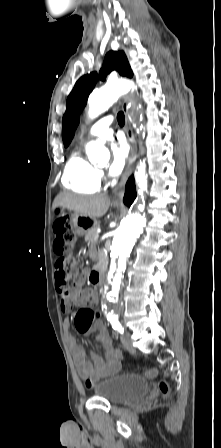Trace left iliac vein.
Here are the masks:
<instances>
[{"instance_id":"obj_1","label":"left iliac vein","mask_w":221,"mask_h":448,"mask_svg":"<svg viewBox=\"0 0 221 448\" xmlns=\"http://www.w3.org/2000/svg\"><path fill=\"white\" fill-rule=\"evenodd\" d=\"M121 341L126 350H128L129 352L135 351L132 345L131 335L129 333L126 332L125 334H123L121 337Z\"/></svg>"}]
</instances>
